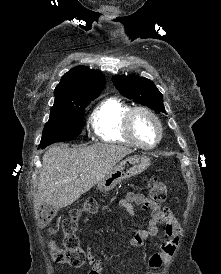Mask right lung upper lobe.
Instances as JSON below:
<instances>
[{"instance_id":"right-lung-upper-lobe-1","label":"right lung upper lobe","mask_w":221,"mask_h":274,"mask_svg":"<svg viewBox=\"0 0 221 274\" xmlns=\"http://www.w3.org/2000/svg\"><path fill=\"white\" fill-rule=\"evenodd\" d=\"M105 86V76L99 71L78 66L67 72L54 90L55 102L100 94Z\"/></svg>"}]
</instances>
